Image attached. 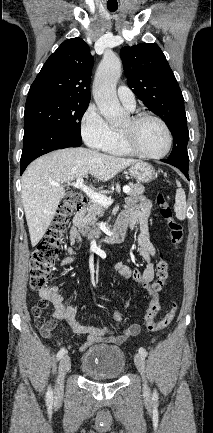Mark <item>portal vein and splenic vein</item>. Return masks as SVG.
<instances>
[{
	"label": "portal vein and splenic vein",
	"mask_w": 213,
	"mask_h": 433,
	"mask_svg": "<svg viewBox=\"0 0 213 433\" xmlns=\"http://www.w3.org/2000/svg\"><path fill=\"white\" fill-rule=\"evenodd\" d=\"M54 186H60L58 183H52ZM67 185H71L74 188L82 190L92 201L99 203L103 207H108L113 203V199L106 197L103 194L97 193L94 190H92L90 187L86 186L84 184V180L82 177L77 178L76 182L68 183ZM124 193L130 192L129 186L123 187Z\"/></svg>",
	"instance_id": "portal-vein-and-splenic-vein-1"
}]
</instances>
